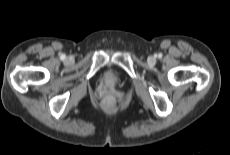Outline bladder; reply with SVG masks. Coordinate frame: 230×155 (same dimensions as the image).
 I'll return each instance as SVG.
<instances>
[{
    "label": "bladder",
    "mask_w": 230,
    "mask_h": 155,
    "mask_svg": "<svg viewBox=\"0 0 230 155\" xmlns=\"http://www.w3.org/2000/svg\"><path fill=\"white\" fill-rule=\"evenodd\" d=\"M104 79H105V82L110 85H115L120 82L119 76L113 71L106 72Z\"/></svg>",
    "instance_id": "bladder-1"
}]
</instances>
